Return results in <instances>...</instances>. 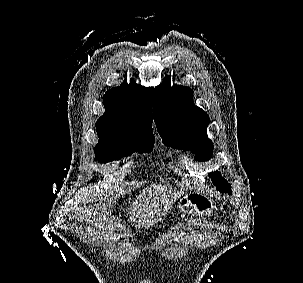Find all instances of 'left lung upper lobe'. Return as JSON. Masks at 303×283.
<instances>
[{
  "label": "left lung upper lobe",
  "mask_w": 303,
  "mask_h": 283,
  "mask_svg": "<svg viewBox=\"0 0 303 283\" xmlns=\"http://www.w3.org/2000/svg\"><path fill=\"white\" fill-rule=\"evenodd\" d=\"M171 76L154 90V121L165 144L190 150L197 161L212 156L213 144L207 138L209 116L193 103V91L185 86L170 85ZM216 190L230 193L231 185L215 171L209 174Z\"/></svg>",
  "instance_id": "obj_1"
}]
</instances>
